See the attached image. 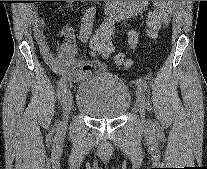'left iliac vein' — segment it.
<instances>
[{"mask_svg": "<svg viewBox=\"0 0 207 169\" xmlns=\"http://www.w3.org/2000/svg\"><path fill=\"white\" fill-rule=\"evenodd\" d=\"M136 103H137V109L142 118V123L145 126H147L148 121L145 120V96L143 94V91L140 89L136 91Z\"/></svg>", "mask_w": 207, "mask_h": 169, "instance_id": "1", "label": "left iliac vein"}]
</instances>
